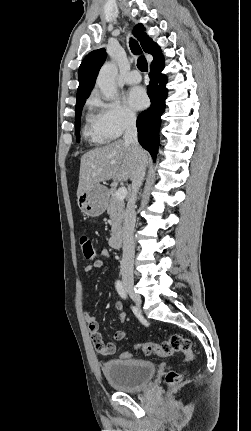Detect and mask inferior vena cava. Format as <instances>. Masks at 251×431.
Wrapping results in <instances>:
<instances>
[{"instance_id":"1","label":"inferior vena cava","mask_w":251,"mask_h":431,"mask_svg":"<svg viewBox=\"0 0 251 431\" xmlns=\"http://www.w3.org/2000/svg\"><path fill=\"white\" fill-rule=\"evenodd\" d=\"M124 142L130 144L136 151H139L137 138L136 117L131 115L126 120ZM146 165L143 162L137 165L136 172L132 178V194L130 196L123 223V256L121 261V273L123 279H133V263L135 254L134 227L136 222L135 203L139 187L145 177Z\"/></svg>"}]
</instances>
